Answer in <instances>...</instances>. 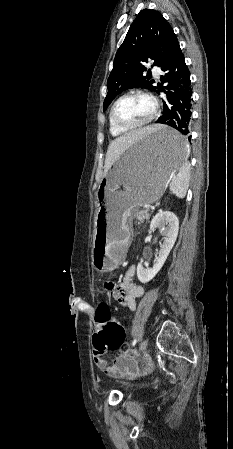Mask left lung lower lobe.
<instances>
[{
	"mask_svg": "<svg viewBox=\"0 0 233 449\" xmlns=\"http://www.w3.org/2000/svg\"><path fill=\"white\" fill-rule=\"evenodd\" d=\"M161 70L165 73L161 76V81L167 83L166 101L157 122L176 129V134L169 133L162 136V143L171 151H180L184 147L183 140L186 143L191 140L189 133L192 115L190 72L180 48ZM155 92L159 93L157 90Z\"/></svg>",
	"mask_w": 233,
	"mask_h": 449,
	"instance_id": "left-lung-lower-lobe-1",
	"label": "left lung lower lobe"
}]
</instances>
